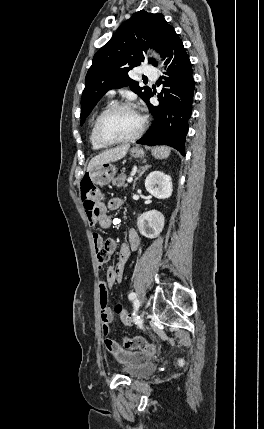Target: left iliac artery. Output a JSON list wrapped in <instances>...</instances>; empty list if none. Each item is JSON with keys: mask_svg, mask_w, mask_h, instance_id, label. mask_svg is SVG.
Segmentation results:
<instances>
[{"mask_svg": "<svg viewBox=\"0 0 264 429\" xmlns=\"http://www.w3.org/2000/svg\"><path fill=\"white\" fill-rule=\"evenodd\" d=\"M134 295H135V293H134V292H131V293L129 294V296H128V297H129V299H130V300H133V299H134V297H135Z\"/></svg>", "mask_w": 264, "mask_h": 429, "instance_id": "44dca946", "label": "left iliac artery"}]
</instances>
